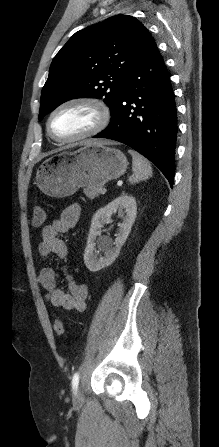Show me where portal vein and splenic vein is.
<instances>
[{"label":"portal vein and splenic vein","instance_id":"1","mask_svg":"<svg viewBox=\"0 0 219 447\" xmlns=\"http://www.w3.org/2000/svg\"><path fill=\"white\" fill-rule=\"evenodd\" d=\"M100 190H101V193H103V194L106 192V188H101Z\"/></svg>","mask_w":219,"mask_h":447}]
</instances>
